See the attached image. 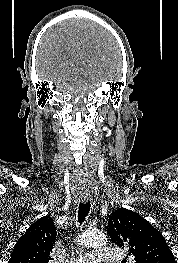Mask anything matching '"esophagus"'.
Returning a JSON list of instances; mask_svg holds the SVG:
<instances>
[{"mask_svg":"<svg viewBox=\"0 0 178 263\" xmlns=\"http://www.w3.org/2000/svg\"><path fill=\"white\" fill-rule=\"evenodd\" d=\"M81 200H82L83 202H87V201H88V197H87V196H82V197H81Z\"/></svg>","mask_w":178,"mask_h":263,"instance_id":"1","label":"esophagus"}]
</instances>
